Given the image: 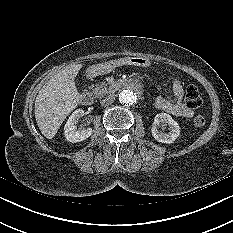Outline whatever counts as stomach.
Returning <instances> with one entry per match:
<instances>
[{
    "label": "stomach",
    "instance_id": "0dacf381",
    "mask_svg": "<svg viewBox=\"0 0 233 233\" xmlns=\"http://www.w3.org/2000/svg\"><path fill=\"white\" fill-rule=\"evenodd\" d=\"M150 65V60L145 57H134L130 56L125 59H114V60H108L105 61L103 64L94 65L89 68L88 72L95 76V75H101L105 73H111V72H117L122 70H130L137 68L138 66L141 67H148Z\"/></svg>",
    "mask_w": 233,
    "mask_h": 233
}]
</instances>
